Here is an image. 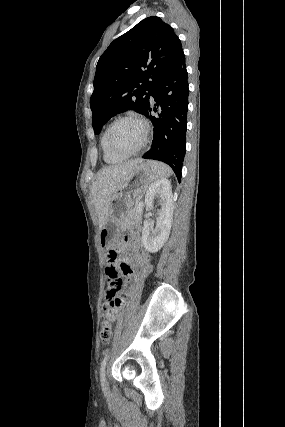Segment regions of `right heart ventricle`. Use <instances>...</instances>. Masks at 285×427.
I'll list each match as a JSON object with an SVG mask.
<instances>
[{
	"label": "right heart ventricle",
	"instance_id": "1",
	"mask_svg": "<svg viewBox=\"0 0 285 427\" xmlns=\"http://www.w3.org/2000/svg\"><path fill=\"white\" fill-rule=\"evenodd\" d=\"M108 127L109 125L104 129L100 138V146L103 152V158H104V161L109 164L120 163L124 161L127 157L115 154L109 149L106 141V134H107Z\"/></svg>",
	"mask_w": 285,
	"mask_h": 427
}]
</instances>
